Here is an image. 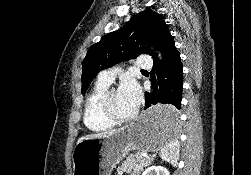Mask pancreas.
Listing matches in <instances>:
<instances>
[{
    "instance_id": "obj_1",
    "label": "pancreas",
    "mask_w": 251,
    "mask_h": 175,
    "mask_svg": "<svg viewBox=\"0 0 251 175\" xmlns=\"http://www.w3.org/2000/svg\"><path fill=\"white\" fill-rule=\"evenodd\" d=\"M149 163L150 157H145L140 151H135V153L127 155L120 167H117V175H122L124 171L130 175H139Z\"/></svg>"
}]
</instances>
